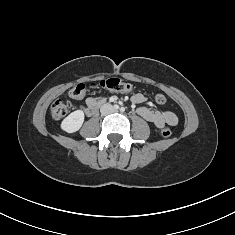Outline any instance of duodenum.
<instances>
[{
    "label": "duodenum",
    "instance_id": "duodenum-1",
    "mask_svg": "<svg viewBox=\"0 0 235 235\" xmlns=\"http://www.w3.org/2000/svg\"><path fill=\"white\" fill-rule=\"evenodd\" d=\"M101 105L102 103H97L95 105L90 106L89 108L86 109V114L89 116L94 115Z\"/></svg>",
    "mask_w": 235,
    "mask_h": 235
}]
</instances>
